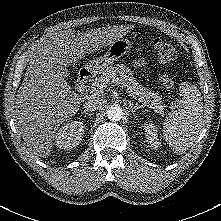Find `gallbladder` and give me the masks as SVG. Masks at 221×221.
<instances>
[{
    "instance_id": "gallbladder-1",
    "label": "gallbladder",
    "mask_w": 221,
    "mask_h": 221,
    "mask_svg": "<svg viewBox=\"0 0 221 221\" xmlns=\"http://www.w3.org/2000/svg\"><path fill=\"white\" fill-rule=\"evenodd\" d=\"M62 73H63L64 77H69L70 76V73L68 72V70L66 68L62 69Z\"/></svg>"
}]
</instances>
